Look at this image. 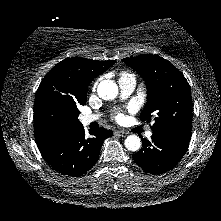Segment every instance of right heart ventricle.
<instances>
[{"label":"right heart ventricle","instance_id":"e07e8e85","mask_svg":"<svg viewBox=\"0 0 221 221\" xmlns=\"http://www.w3.org/2000/svg\"><path fill=\"white\" fill-rule=\"evenodd\" d=\"M128 76H132V75L129 74V73H126V72H123V73L121 74V78H123V77H128Z\"/></svg>","mask_w":221,"mask_h":221}]
</instances>
